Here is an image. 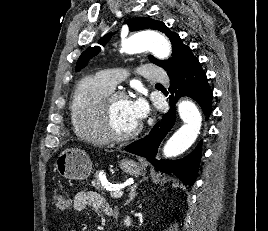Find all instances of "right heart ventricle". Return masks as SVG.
Instances as JSON below:
<instances>
[{
    "label": "right heart ventricle",
    "instance_id": "e07e8e85",
    "mask_svg": "<svg viewBox=\"0 0 268 231\" xmlns=\"http://www.w3.org/2000/svg\"><path fill=\"white\" fill-rule=\"evenodd\" d=\"M113 88L98 77L88 76L78 85L69 104V113L74 133L98 145L110 139L103 133L99 112L103 97Z\"/></svg>",
    "mask_w": 268,
    "mask_h": 231
}]
</instances>
